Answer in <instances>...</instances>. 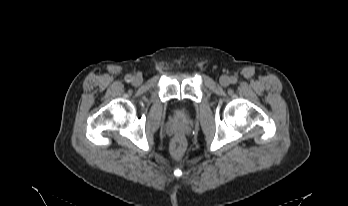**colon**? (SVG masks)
Returning a JSON list of instances; mask_svg holds the SVG:
<instances>
[{"label": "colon", "instance_id": "1", "mask_svg": "<svg viewBox=\"0 0 348 206\" xmlns=\"http://www.w3.org/2000/svg\"><path fill=\"white\" fill-rule=\"evenodd\" d=\"M183 150V144L181 140H177L172 147V153L174 156H179V154L182 152Z\"/></svg>", "mask_w": 348, "mask_h": 206}]
</instances>
